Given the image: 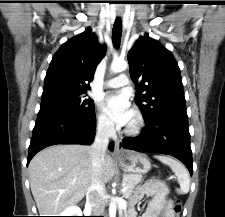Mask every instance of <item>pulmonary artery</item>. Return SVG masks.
<instances>
[{"mask_svg": "<svg viewBox=\"0 0 225 217\" xmlns=\"http://www.w3.org/2000/svg\"><path fill=\"white\" fill-rule=\"evenodd\" d=\"M129 84V79L126 75L121 74L116 78L110 79L105 82L106 87L117 88Z\"/></svg>", "mask_w": 225, "mask_h": 217, "instance_id": "obj_1", "label": "pulmonary artery"}]
</instances>
